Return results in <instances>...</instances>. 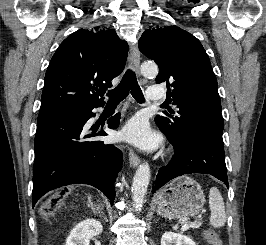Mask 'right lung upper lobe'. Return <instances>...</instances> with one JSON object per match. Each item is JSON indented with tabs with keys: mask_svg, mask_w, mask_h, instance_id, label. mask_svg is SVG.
<instances>
[{
	"mask_svg": "<svg viewBox=\"0 0 266 245\" xmlns=\"http://www.w3.org/2000/svg\"><path fill=\"white\" fill-rule=\"evenodd\" d=\"M127 54L128 44L108 28L79 29L69 35L48 66L38 122L103 103L101 92L122 72Z\"/></svg>",
	"mask_w": 266,
	"mask_h": 245,
	"instance_id": "obj_1",
	"label": "right lung upper lobe"
}]
</instances>
